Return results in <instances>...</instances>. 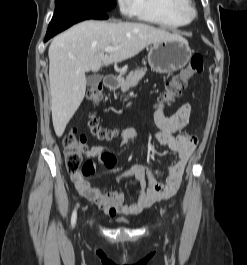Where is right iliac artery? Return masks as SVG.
Returning <instances> with one entry per match:
<instances>
[{"label": "right iliac artery", "instance_id": "82829eb1", "mask_svg": "<svg viewBox=\"0 0 247 265\" xmlns=\"http://www.w3.org/2000/svg\"><path fill=\"white\" fill-rule=\"evenodd\" d=\"M76 209L73 211V214H72V218H71V224H72V227L75 225V222H76Z\"/></svg>", "mask_w": 247, "mask_h": 265}]
</instances>
